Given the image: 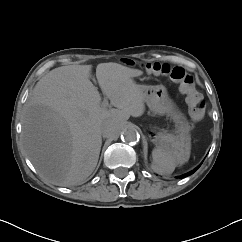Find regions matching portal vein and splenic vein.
Segmentation results:
<instances>
[{
  "mask_svg": "<svg viewBox=\"0 0 242 242\" xmlns=\"http://www.w3.org/2000/svg\"><path fill=\"white\" fill-rule=\"evenodd\" d=\"M109 105L108 100L105 98L101 104L102 107H107Z\"/></svg>",
  "mask_w": 242,
  "mask_h": 242,
  "instance_id": "obj_1",
  "label": "portal vein and splenic vein"
}]
</instances>
